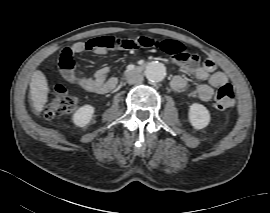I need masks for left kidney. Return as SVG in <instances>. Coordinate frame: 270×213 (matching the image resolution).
<instances>
[{"mask_svg": "<svg viewBox=\"0 0 270 213\" xmlns=\"http://www.w3.org/2000/svg\"><path fill=\"white\" fill-rule=\"evenodd\" d=\"M189 121L195 129H203L210 122V113L204 105L193 103L189 108Z\"/></svg>", "mask_w": 270, "mask_h": 213, "instance_id": "1", "label": "left kidney"}]
</instances>
